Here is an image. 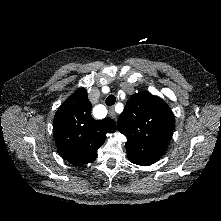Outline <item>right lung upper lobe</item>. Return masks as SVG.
Returning <instances> with one entry per match:
<instances>
[{"instance_id":"right-lung-upper-lobe-1","label":"right lung upper lobe","mask_w":221,"mask_h":221,"mask_svg":"<svg viewBox=\"0 0 221 221\" xmlns=\"http://www.w3.org/2000/svg\"><path fill=\"white\" fill-rule=\"evenodd\" d=\"M84 88L74 92L58 109L53 120V134L59 154L74 165L92 162L107 133L116 131L110 119L95 120Z\"/></svg>"}]
</instances>
